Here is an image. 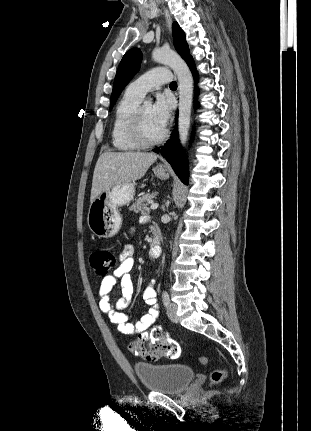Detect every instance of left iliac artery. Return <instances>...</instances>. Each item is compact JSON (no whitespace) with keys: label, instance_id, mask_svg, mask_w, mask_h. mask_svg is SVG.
I'll use <instances>...</instances> for the list:
<instances>
[{"label":"left iliac artery","instance_id":"1","mask_svg":"<svg viewBox=\"0 0 311 431\" xmlns=\"http://www.w3.org/2000/svg\"><path fill=\"white\" fill-rule=\"evenodd\" d=\"M162 301H163V304H164L165 307H167L169 305L170 299H169V294H168L167 291L163 292Z\"/></svg>","mask_w":311,"mask_h":431}]
</instances>
